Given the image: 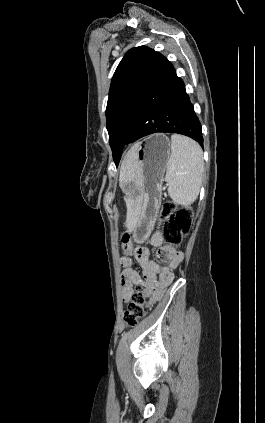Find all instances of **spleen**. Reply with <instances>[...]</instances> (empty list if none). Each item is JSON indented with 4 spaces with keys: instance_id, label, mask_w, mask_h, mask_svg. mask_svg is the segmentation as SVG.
Segmentation results:
<instances>
[{
    "instance_id": "obj_1",
    "label": "spleen",
    "mask_w": 265,
    "mask_h": 423,
    "mask_svg": "<svg viewBox=\"0 0 265 423\" xmlns=\"http://www.w3.org/2000/svg\"><path fill=\"white\" fill-rule=\"evenodd\" d=\"M203 171V152L198 143L182 135H172L165 181L174 203L188 206L197 199Z\"/></svg>"
}]
</instances>
